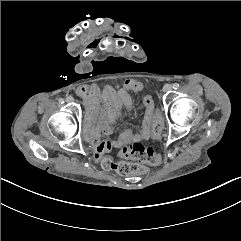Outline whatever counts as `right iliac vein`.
<instances>
[{
  "label": "right iliac vein",
  "mask_w": 241,
  "mask_h": 241,
  "mask_svg": "<svg viewBox=\"0 0 241 241\" xmlns=\"http://www.w3.org/2000/svg\"><path fill=\"white\" fill-rule=\"evenodd\" d=\"M74 99L72 98V97H67L66 98V102H71V101H73Z\"/></svg>",
  "instance_id": "63e3f726"
}]
</instances>
